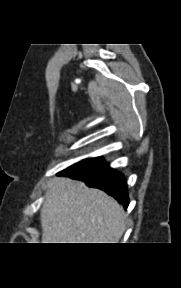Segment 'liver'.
<instances>
[{
	"label": "liver",
	"mask_w": 181,
	"mask_h": 288,
	"mask_svg": "<svg viewBox=\"0 0 181 288\" xmlns=\"http://www.w3.org/2000/svg\"><path fill=\"white\" fill-rule=\"evenodd\" d=\"M40 220L43 243H118L126 228L116 200L67 177L48 183Z\"/></svg>",
	"instance_id": "obj_1"
}]
</instances>
